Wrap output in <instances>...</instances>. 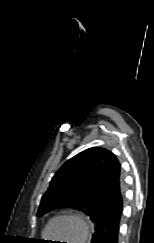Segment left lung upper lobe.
<instances>
[{"label": "left lung upper lobe", "mask_w": 154, "mask_h": 243, "mask_svg": "<svg viewBox=\"0 0 154 243\" xmlns=\"http://www.w3.org/2000/svg\"><path fill=\"white\" fill-rule=\"evenodd\" d=\"M109 153L106 149L93 147L65 162L42 196L37 215L57 208H72L86 213L95 223L102 209L91 200L89 190Z\"/></svg>", "instance_id": "1"}]
</instances>
